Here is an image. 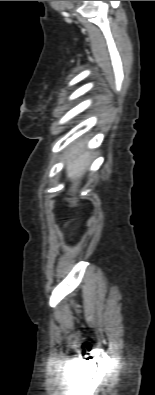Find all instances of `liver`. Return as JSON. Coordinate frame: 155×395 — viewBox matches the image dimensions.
<instances>
[{"label":"liver","mask_w":155,"mask_h":395,"mask_svg":"<svg viewBox=\"0 0 155 395\" xmlns=\"http://www.w3.org/2000/svg\"><path fill=\"white\" fill-rule=\"evenodd\" d=\"M84 146L85 142L79 141L71 146L67 154L66 171L68 178L72 181V193L76 191L93 158L92 152L85 151ZM73 204L75 205L76 201Z\"/></svg>","instance_id":"6515ba94"}]
</instances>
